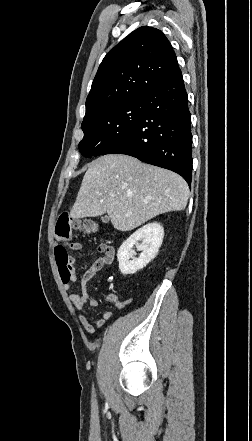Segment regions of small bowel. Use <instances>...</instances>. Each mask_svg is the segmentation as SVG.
<instances>
[{"label":"small bowel","mask_w":252,"mask_h":441,"mask_svg":"<svg viewBox=\"0 0 252 441\" xmlns=\"http://www.w3.org/2000/svg\"><path fill=\"white\" fill-rule=\"evenodd\" d=\"M72 250L81 251L83 245L80 242H73L71 245ZM99 252L102 254L97 258L88 268H86L81 274V293H75L71 295V300L78 311L79 321L84 330L93 335L95 333V327H102L108 321L112 314L109 311H103L101 318L97 320H90L84 312L85 306L89 305L94 307L97 305V300L91 297L87 292V284L93 278V276L104 266L110 265L114 261V250L108 245H101L98 247ZM70 276L66 277L60 270V275L65 288H69L70 282L76 281V274L74 270V258L70 256ZM105 299L113 304V306L120 310L124 307V303L114 293H106Z\"/></svg>","instance_id":"small-bowel-1"}]
</instances>
